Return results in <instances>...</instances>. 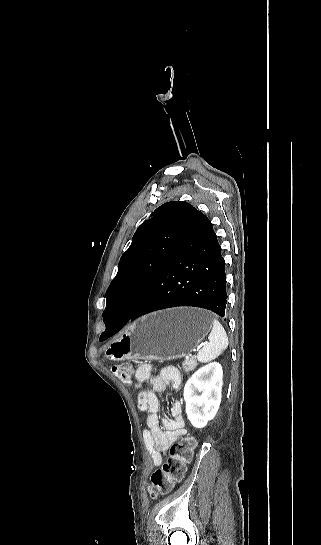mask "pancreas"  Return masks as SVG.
Listing matches in <instances>:
<instances>
[{
	"instance_id": "cf45deb5",
	"label": "pancreas",
	"mask_w": 321,
	"mask_h": 545,
	"mask_svg": "<svg viewBox=\"0 0 321 545\" xmlns=\"http://www.w3.org/2000/svg\"><path fill=\"white\" fill-rule=\"evenodd\" d=\"M183 371L184 373H189V371H194L197 367L196 359L195 357H191V359H186V361H183Z\"/></svg>"
}]
</instances>
